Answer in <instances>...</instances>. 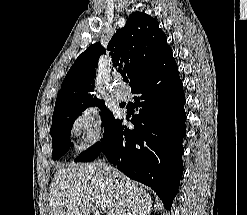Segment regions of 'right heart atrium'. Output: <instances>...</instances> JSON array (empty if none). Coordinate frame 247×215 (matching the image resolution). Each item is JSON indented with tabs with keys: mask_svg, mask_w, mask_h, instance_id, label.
Returning <instances> with one entry per match:
<instances>
[{
	"mask_svg": "<svg viewBox=\"0 0 247 215\" xmlns=\"http://www.w3.org/2000/svg\"><path fill=\"white\" fill-rule=\"evenodd\" d=\"M70 132L76 139L78 150L85 151L94 146L104 133V121L99 110L94 107L81 109L71 123Z\"/></svg>",
	"mask_w": 247,
	"mask_h": 215,
	"instance_id": "obj_1",
	"label": "right heart atrium"
}]
</instances>
